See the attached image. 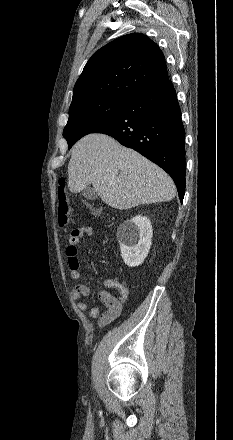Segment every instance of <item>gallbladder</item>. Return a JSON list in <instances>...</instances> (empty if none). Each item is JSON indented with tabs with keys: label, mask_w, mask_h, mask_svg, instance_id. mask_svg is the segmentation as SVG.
Instances as JSON below:
<instances>
[{
	"label": "gallbladder",
	"mask_w": 233,
	"mask_h": 440,
	"mask_svg": "<svg viewBox=\"0 0 233 440\" xmlns=\"http://www.w3.org/2000/svg\"><path fill=\"white\" fill-rule=\"evenodd\" d=\"M83 195L88 200H95L98 198V194H97L96 190L90 186L86 187L83 190Z\"/></svg>",
	"instance_id": "1"
}]
</instances>
